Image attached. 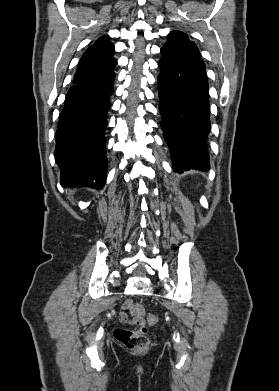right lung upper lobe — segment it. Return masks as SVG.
Here are the masks:
<instances>
[{"mask_svg": "<svg viewBox=\"0 0 279 391\" xmlns=\"http://www.w3.org/2000/svg\"><path fill=\"white\" fill-rule=\"evenodd\" d=\"M113 52L114 45L109 41V36L99 38L81 57L74 75V84L98 79L113 72L117 64Z\"/></svg>", "mask_w": 279, "mask_h": 391, "instance_id": "1", "label": "right lung upper lobe"}]
</instances>
